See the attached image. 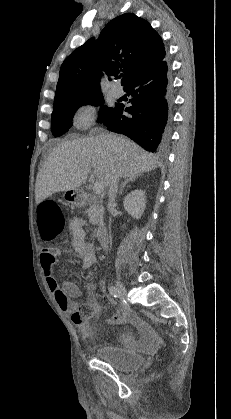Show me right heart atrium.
Here are the masks:
<instances>
[{"label":"right heart atrium","instance_id":"d8ad5b80","mask_svg":"<svg viewBox=\"0 0 231 419\" xmlns=\"http://www.w3.org/2000/svg\"><path fill=\"white\" fill-rule=\"evenodd\" d=\"M97 116V108L92 103H84L77 107L73 116L74 125L79 129L90 127Z\"/></svg>","mask_w":231,"mask_h":419}]
</instances>
